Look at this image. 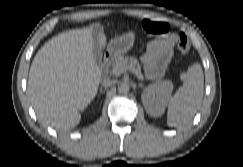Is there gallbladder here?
Returning a JSON list of instances; mask_svg holds the SVG:
<instances>
[{"label": "gallbladder", "instance_id": "gallbladder-1", "mask_svg": "<svg viewBox=\"0 0 243 167\" xmlns=\"http://www.w3.org/2000/svg\"><path fill=\"white\" fill-rule=\"evenodd\" d=\"M102 34H103V31H102L101 27L96 26L92 29L93 55H94L95 62L97 64H100L102 61V48H101V45L99 42Z\"/></svg>", "mask_w": 243, "mask_h": 167}]
</instances>
